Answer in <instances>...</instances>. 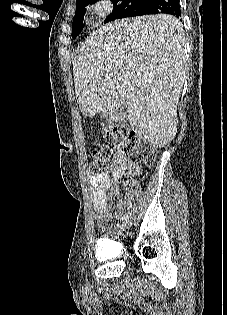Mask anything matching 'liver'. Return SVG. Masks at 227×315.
I'll list each match as a JSON object with an SVG mask.
<instances>
[{
	"label": "liver",
	"mask_w": 227,
	"mask_h": 315,
	"mask_svg": "<svg viewBox=\"0 0 227 315\" xmlns=\"http://www.w3.org/2000/svg\"><path fill=\"white\" fill-rule=\"evenodd\" d=\"M185 36L174 16L116 20L96 29L73 61L80 111L92 117L121 110L132 129L156 147L177 131V105L186 79Z\"/></svg>",
	"instance_id": "1"
}]
</instances>
